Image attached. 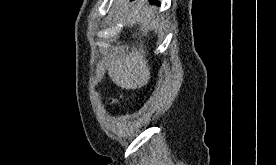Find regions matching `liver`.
Instances as JSON below:
<instances>
[{
  "instance_id": "6515ba94",
  "label": "liver",
  "mask_w": 276,
  "mask_h": 165,
  "mask_svg": "<svg viewBox=\"0 0 276 165\" xmlns=\"http://www.w3.org/2000/svg\"><path fill=\"white\" fill-rule=\"evenodd\" d=\"M146 0L126 3L123 9L124 24L132 26L136 21L141 23V30L146 33L149 25H155L156 9L146 5ZM153 18V19H152ZM109 76L123 89H137L146 85L150 79V67L145 60L143 44L133 46L129 54L110 53L106 60Z\"/></svg>"
}]
</instances>
